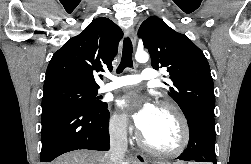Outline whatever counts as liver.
Returning <instances> with one entry per match:
<instances>
[{
	"mask_svg": "<svg viewBox=\"0 0 251 164\" xmlns=\"http://www.w3.org/2000/svg\"><path fill=\"white\" fill-rule=\"evenodd\" d=\"M183 162H175L173 164H182ZM52 164H111L110 154L99 151L78 150L66 153L57 158ZM124 164H131L126 161ZM191 164V163H189Z\"/></svg>",
	"mask_w": 251,
	"mask_h": 164,
	"instance_id": "obj_1",
	"label": "liver"
}]
</instances>
